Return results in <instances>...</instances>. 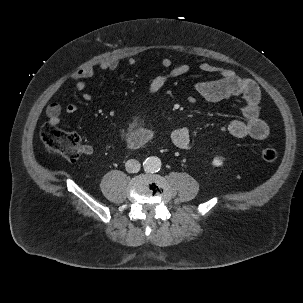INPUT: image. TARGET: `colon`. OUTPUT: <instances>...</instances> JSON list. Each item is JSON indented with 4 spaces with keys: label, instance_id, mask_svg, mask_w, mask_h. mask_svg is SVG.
I'll return each mask as SVG.
<instances>
[{
    "label": "colon",
    "instance_id": "colon-1",
    "mask_svg": "<svg viewBox=\"0 0 303 303\" xmlns=\"http://www.w3.org/2000/svg\"><path fill=\"white\" fill-rule=\"evenodd\" d=\"M40 137L48 149L61 154L69 161L77 162L80 159V137L75 132L65 131L48 122L42 127ZM260 155L266 162H273L278 157L276 149L270 146L264 147Z\"/></svg>",
    "mask_w": 303,
    "mask_h": 303
}]
</instances>
